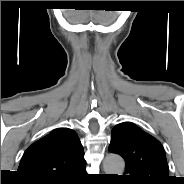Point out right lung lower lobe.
Here are the masks:
<instances>
[{
    "label": "right lung lower lobe",
    "instance_id": "obj_1",
    "mask_svg": "<svg viewBox=\"0 0 184 184\" xmlns=\"http://www.w3.org/2000/svg\"><path fill=\"white\" fill-rule=\"evenodd\" d=\"M84 173H85V169H84L82 172H80L79 175H77V176H80V175H82V174H84ZM77 176H76L75 178L69 180V181L59 182L58 184L76 183V182H77V179H76Z\"/></svg>",
    "mask_w": 184,
    "mask_h": 184
}]
</instances>
